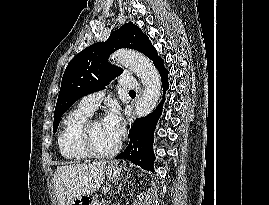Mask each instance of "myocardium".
Wrapping results in <instances>:
<instances>
[{"label":"myocardium","instance_id":"obj_1","mask_svg":"<svg viewBox=\"0 0 269 205\" xmlns=\"http://www.w3.org/2000/svg\"><path fill=\"white\" fill-rule=\"evenodd\" d=\"M100 121V118H89L85 124L82 126L80 135H79V143L83 151L86 153L88 157L103 159V158H110L116 155L119 150L121 149V142L118 141L116 146L109 150V151H98L92 142V128L93 126Z\"/></svg>","mask_w":269,"mask_h":205}]
</instances>
